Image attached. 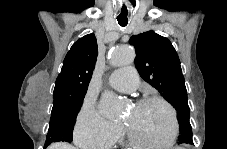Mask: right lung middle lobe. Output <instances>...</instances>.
Here are the masks:
<instances>
[{"label":"right lung middle lobe","mask_w":227,"mask_h":149,"mask_svg":"<svg viewBox=\"0 0 227 149\" xmlns=\"http://www.w3.org/2000/svg\"><path fill=\"white\" fill-rule=\"evenodd\" d=\"M83 99L84 97L54 99L44 147H47L52 142H72L73 128Z\"/></svg>","instance_id":"obj_1"}]
</instances>
